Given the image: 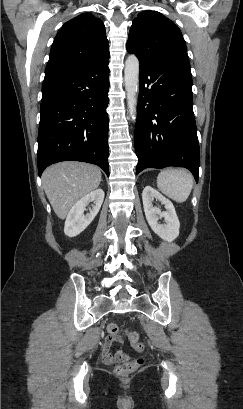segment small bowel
<instances>
[{
    "label": "small bowel",
    "instance_id": "small-bowel-1",
    "mask_svg": "<svg viewBox=\"0 0 243 409\" xmlns=\"http://www.w3.org/2000/svg\"><path fill=\"white\" fill-rule=\"evenodd\" d=\"M118 343H122V339L117 334L109 333L105 338L100 350L101 360L104 364L112 365L128 359L127 354L121 349L113 351V346Z\"/></svg>",
    "mask_w": 243,
    "mask_h": 409
}]
</instances>
